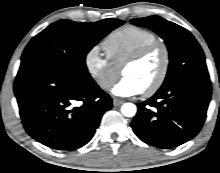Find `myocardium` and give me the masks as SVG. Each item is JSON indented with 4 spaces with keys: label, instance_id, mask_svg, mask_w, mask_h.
I'll return each mask as SVG.
<instances>
[{
    "label": "myocardium",
    "instance_id": "myocardium-1",
    "mask_svg": "<svg viewBox=\"0 0 220 173\" xmlns=\"http://www.w3.org/2000/svg\"><path fill=\"white\" fill-rule=\"evenodd\" d=\"M156 50L162 51L163 64L160 73L156 78V80L154 81V83L149 88L143 91V95L146 97H150L156 94L161 89L168 76L170 63H171V53L167 44L159 40L154 41L137 50L124 62L122 66V72H123L125 68L143 61L147 56H149L151 53H153Z\"/></svg>",
    "mask_w": 220,
    "mask_h": 173
}]
</instances>
